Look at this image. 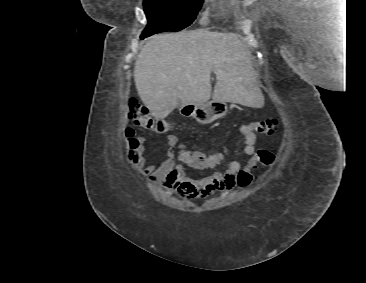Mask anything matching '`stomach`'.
<instances>
[{
    "label": "stomach",
    "instance_id": "0dacf381",
    "mask_svg": "<svg viewBox=\"0 0 366 283\" xmlns=\"http://www.w3.org/2000/svg\"><path fill=\"white\" fill-rule=\"evenodd\" d=\"M181 110H190L189 116H192L200 124H210L215 120L222 118L227 113V104L219 99H212L203 104L182 105Z\"/></svg>",
    "mask_w": 366,
    "mask_h": 283
}]
</instances>
